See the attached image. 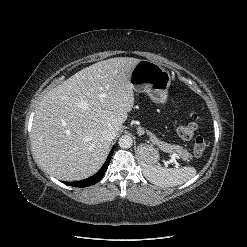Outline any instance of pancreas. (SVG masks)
Listing matches in <instances>:
<instances>
[{"instance_id":"1","label":"pancreas","mask_w":247,"mask_h":247,"mask_svg":"<svg viewBox=\"0 0 247 247\" xmlns=\"http://www.w3.org/2000/svg\"><path fill=\"white\" fill-rule=\"evenodd\" d=\"M152 141L155 142L161 150H163L164 152H168V153H178L179 155H181L184 159H188L191 157L190 153L183 149L181 146L179 145H171L165 142H160L155 136L151 135Z\"/></svg>"}]
</instances>
